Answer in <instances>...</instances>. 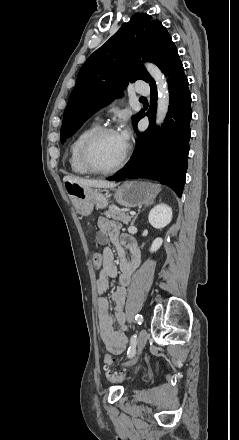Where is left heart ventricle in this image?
Returning <instances> with one entry per match:
<instances>
[{"label": "left heart ventricle", "instance_id": "1", "mask_svg": "<svg viewBox=\"0 0 239 440\" xmlns=\"http://www.w3.org/2000/svg\"><path fill=\"white\" fill-rule=\"evenodd\" d=\"M126 146L118 132L105 134L92 146L91 160L98 168L111 169L122 158Z\"/></svg>", "mask_w": 239, "mask_h": 440}]
</instances>
